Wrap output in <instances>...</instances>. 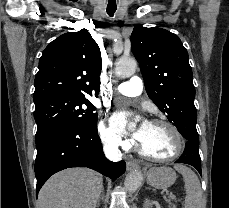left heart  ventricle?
<instances>
[{
	"label": "left heart ventricle",
	"instance_id": "b2bd125f",
	"mask_svg": "<svg viewBox=\"0 0 229 208\" xmlns=\"http://www.w3.org/2000/svg\"><path fill=\"white\" fill-rule=\"evenodd\" d=\"M170 130L172 129L164 125L148 124L146 132L140 141L143 147L146 148V152H151V157H168L181 148L173 146Z\"/></svg>",
	"mask_w": 229,
	"mask_h": 208
}]
</instances>
